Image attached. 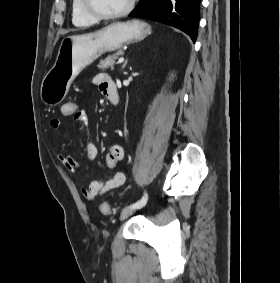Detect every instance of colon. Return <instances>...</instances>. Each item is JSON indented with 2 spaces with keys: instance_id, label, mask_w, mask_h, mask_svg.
I'll use <instances>...</instances> for the list:
<instances>
[{
  "instance_id": "colon-1",
  "label": "colon",
  "mask_w": 280,
  "mask_h": 283,
  "mask_svg": "<svg viewBox=\"0 0 280 283\" xmlns=\"http://www.w3.org/2000/svg\"><path fill=\"white\" fill-rule=\"evenodd\" d=\"M81 108L78 107L76 99H67L66 103L61 104V116L68 119L69 116H76V112H80ZM100 211L104 216L111 215L114 209L108 204L103 203L100 207Z\"/></svg>"
}]
</instances>
